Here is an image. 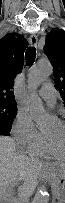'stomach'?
<instances>
[{
	"mask_svg": "<svg viewBox=\"0 0 65 203\" xmlns=\"http://www.w3.org/2000/svg\"><path fill=\"white\" fill-rule=\"evenodd\" d=\"M47 173L54 196L59 199V203H65V168L51 167Z\"/></svg>",
	"mask_w": 65,
	"mask_h": 203,
	"instance_id": "0dacf381",
	"label": "stomach"
}]
</instances>
